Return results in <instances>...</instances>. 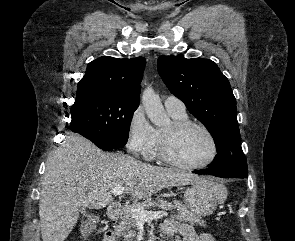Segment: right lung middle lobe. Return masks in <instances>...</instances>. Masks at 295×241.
<instances>
[{
    "label": "right lung middle lobe",
    "mask_w": 295,
    "mask_h": 241,
    "mask_svg": "<svg viewBox=\"0 0 295 241\" xmlns=\"http://www.w3.org/2000/svg\"><path fill=\"white\" fill-rule=\"evenodd\" d=\"M139 103L96 91L76 99L67 127L103 150L127 143L130 123Z\"/></svg>",
    "instance_id": "obj_1"
}]
</instances>
